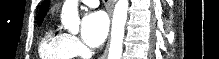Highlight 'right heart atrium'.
I'll use <instances>...</instances> for the list:
<instances>
[{
  "mask_svg": "<svg viewBox=\"0 0 219 59\" xmlns=\"http://www.w3.org/2000/svg\"><path fill=\"white\" fill-rule=\"evenodd\" d=\"M70 45H71L75 55H81L82 54L83 46L76 37L70 36Z\"/></svg>",
  "mask_w": 219,
  "mask_h": 59,
  "instance_id": "1",
  "label": "right heart atrium"
}]
</instances>
